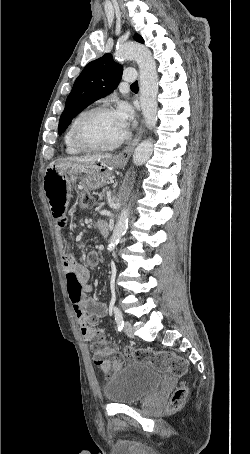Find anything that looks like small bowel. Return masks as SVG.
<instances>
[{"mask_svg": "<svg viewBox=\"0 0 250 454\" xmlns=\"http://www.w3.org/2000/svg\"><path fill=\"white\" fill-rule=\"evenodd\" d=\"M44 190L49 201L55 223L62 228L67 221V207L76 190V177L72 172L50 170L44 181ZM104 225H100L99 229ZM97 253L90 251L87 254L88 262H97ZM63 268L66 275L68 296L80 326V332L85 341L92 340L93 327L90 323L107 316L109 308L105 303H98L88 297L93 290L90 274L87 268L78 263L68 252L62 256Z\"/></svg>", "mask_w": 250, "mask_h": 454, "instance_id": "c3829d8e", "label": "small bowel"}]
</instances>
